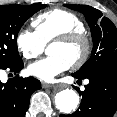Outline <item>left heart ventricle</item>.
<instances>
[{"label": "left heart ventricle", "mask_w": 117, "mask_h": 117, "mask_svg": "<svg viewBox=\"0 0 117 117\" xmlns=\"http://www.w3.org/2000/svg\"><path fill=\"white\" fill-rule=\"evenodd\" d=\"M47 52L49 55H58L64 57L70 64L76 61L81 52L82 47L80 45H61V44H51Z\"/></svg>", "instance_id": "1"}]
</instances>
